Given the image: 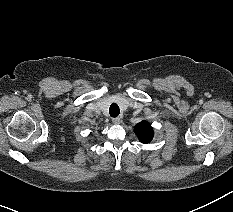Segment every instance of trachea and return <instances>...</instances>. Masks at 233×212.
I'll return each instance as SVG.
<instances>
[{
  "mask_svg": "<svg viewBox=\"0 0 233 212\" xmlns=\"http://www.w3.org/2000/svg\"><path fill=\"white\" fill-rule=\"evenodd\" d=\"M109 113L111 117H117L120 113L119 106L116 103L111 104Z\"/></svg>",
  "mask_w": 233,
  "mask_h": 212,
  "instance_id": "trachea-1",
  "label": "trachea"
}]
</instances>
